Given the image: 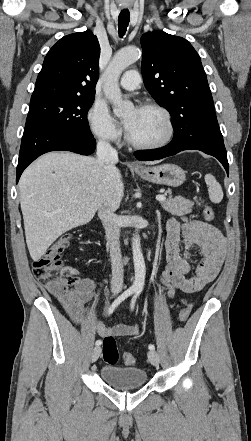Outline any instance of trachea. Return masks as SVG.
<instances>
[{
  "mask_svg": "<svg viewBox=\"0 0 251 441\" xmlns=\"http://www.w3.org/2000/svg\"><path fill=\"white\" fill-rule=\"evenodd\" d=\"M129 21H130L129 10L128 9L122 10L118 17V33L120 37H123L125 35Z\"/></svg>",
  "mask_w": 251,
  "mask_h": 441,
  "instance_id": "trachea-1",
  "label": "trachea"
}]
</instances>
